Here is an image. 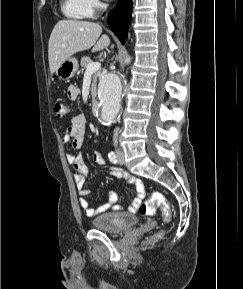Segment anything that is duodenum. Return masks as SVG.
Instances as JSON below:
<instances>
[{"label": "duodenum", "mask_w": 243, "mask_h": 289, "mask_svg": "<svg viewBox=\"0 0 243 289\" xmlns=\"http://www.w3.org/2000/svg\"><path fill=\"white\" fill-rule=\"evenodd\" d=\"M91 109H92V113L94 116H98L99 113H100V104H99V101L98 100H93L92 101V106H91Z\"/></svg>", "instance_id": "obj_1"}]
</instances>
